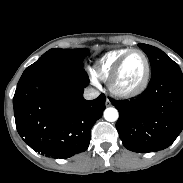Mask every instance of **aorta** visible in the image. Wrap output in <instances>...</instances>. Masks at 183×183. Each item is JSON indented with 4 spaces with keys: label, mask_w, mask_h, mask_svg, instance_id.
<instances>
[{
    "label": "aorta",
    "mask_w": 183,
    "mask_h": 183,
    "mask_svg": "<svg viewBox=\"0 0 183 183\" xmlns=\"http://www.w3.org/2000/svg\"><path fill=\"white\" fill-rule=\"evenodd\" d=\"M119 114L118 111L115 108H107L104 111V118L105 120L109 121V122H114L118 119Z\"/></svg>",
    "instance_id": "obj_1"
}]
</instances>
